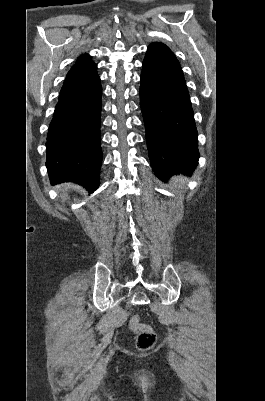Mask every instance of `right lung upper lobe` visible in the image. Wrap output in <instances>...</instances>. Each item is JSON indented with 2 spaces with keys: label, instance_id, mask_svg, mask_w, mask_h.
Returning <instances> with one entry per match:
<instances>
[{
  "label": "right lung upper lobe",
  "instance_id": "cb5924a9",
  "mask_svg": "<svg viewBox=\"0 0 265 401\" xmlns=\"http://www.w3.org/2000/svg\"><path fill=\"white\" fill-rule=\"evenodd\" d=\"M96 69L97 65L91 60L90 56H80L68 72L60 94L96 84L100 80Z\"/></svg>",
  "mask_w": 265,
  "mask_h": 401
}]
</instances>
